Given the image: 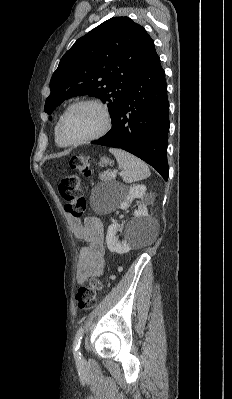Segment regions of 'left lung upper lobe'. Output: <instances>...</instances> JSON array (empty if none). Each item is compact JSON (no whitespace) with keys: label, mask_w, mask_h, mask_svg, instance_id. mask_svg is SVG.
<instances>
[{"label":"left lung upper lobe","mask_w":232,"mask_h":399,"mask_svg":"<svg viewBox=\"0 0 232 399\" xmlns=\"http://www.w3.org/2000/svg\"><path fill=\"white\" fill-rule=\"evenodd\" d=\"M152 42L128 17H113L79 38L61 58L50 81L48 114L73 96L89 95L107 103L115 118L129 83Z\"/></svg>","instance_id":"5c2ea615"}]
</instances>
